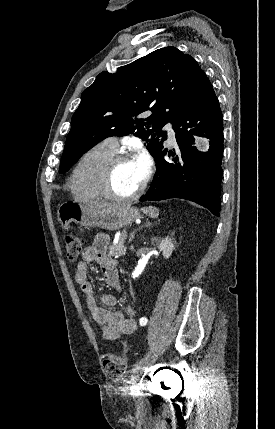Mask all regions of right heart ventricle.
Masks as SVG:
<instances>
[{
    "label": "right heart ventricle",
    "instance_id": "right-heart-ventricle-1",
    "mask_svg": "<svg viewBox=\"0 0 275 429\" xmlns=\"http://www.w3.org/2000/svg\"><path fill=\"white\" fill-rule=\"evenodd\" d=\"M116 151L104 143L97 144L87 150L75 165L68 186L71 192L85 199L99 200L103 198L100 191V177L106 161Z\"/></svg>",
    "mask_w": 275,
    "mask_h": 429
}]
</instances>
